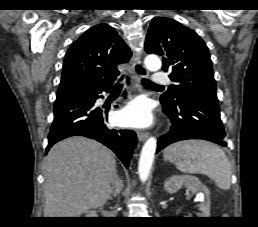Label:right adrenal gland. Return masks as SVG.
I'll use <instances>...</instances> for the list:
<instances>
[{"label":"right adrenal gland","mask_w":258,"mask_h":227,"mask_svg":"<svg viewBox=\"0 0 258 227\" xmlns=\"http://www.w3.org/2000/svg\"><path fill=\"white\" fill-rule=\"evenodd\" d=\"M123 186V181L119 177L117 170H115L111 188L112 196L109 199L112 200L113 198H116L123 189Z\"/></svg>","instance_id":"2a0ac1e0"}]
</instances>
